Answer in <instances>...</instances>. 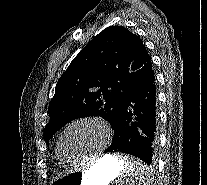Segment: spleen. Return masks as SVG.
I'll return each mask as SVG.
<instances>
[{
	"instance_id": "3e777b00",
	"label": "spleen",
	"mask_w": 207,
	"mask_h": 185,
	"mask_svg": "<svg viewBox=\"0 0 207 185\" xmlns=\"http://www.w3.org/2000/svg\"><path fill=\"white\" fill-rule=\"evenodd\" d=\"M124 174H119L120 185H146L147 179H155L149 174L151 166H145L143 159H134V153H117Z\"/></svg>"
}]
</instances>
